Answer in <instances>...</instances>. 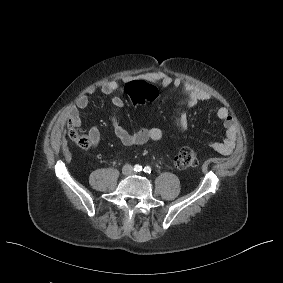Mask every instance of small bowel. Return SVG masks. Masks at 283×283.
Masks as SVG:
<instances>
[{
    "label": "small bowel",
    "mask_w": 283,
    "mask_h": 283,
    "mask_svg": "<svg viewBox=\"0 0 283 283\" xmlns=\"http://www.w3.org/2000/svg\"><path fill=\"white\" fill-rule=\"evenodd\" d=\"M141 80L149 83L156 84L162 88L173 87L174 89L182 88L188 96L187 104L189 107H194L200 102L207 101L211 98L210 94L196 87L195 85L183 82L179 77L171 76L165 72H145L137 76L124 77L125 82H131L133 80ZM118 89V83L114 80L105 82L100 86L93 88L89 91V94L99 90L102 94L109 96L116 92ZM89 100L87 95H81L77 98L75 105L70 110L69 116L79 128L81 121L79 117V110L87 108ZM124 105V101L121 97L115 96L112 100V108L110 112V123L113 128L115 136L125 146H138L147 143L148 141L160 142L164 139V132L158 127L140 128L137 131L130 132L123 128L119 123L118 110ZM217 117L222 121L226 130V135L222 141L209 142V146L216 152L228 155L230 154L236 143L237 138V126L234 118L230 115L228 109L225 106H219L216 109ZM179 126L181 130L185 131L188 127V120L186 117H181L179 120ZM90 140V148L94 149L100 142V131L97 127H92L88 132Z\"/></svg>",
    "instance_id": "small-bowel-1"
}]
</instances>
